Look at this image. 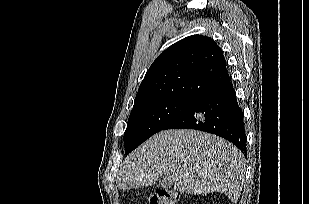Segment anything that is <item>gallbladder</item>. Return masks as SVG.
I'll use <instances>...</instances> for the list:
<instances>
[{
  "instance_id": "1",
  "label": "gallbladder",
  "mask_w": 309,
  "mask_h": 204,
  "mask_svg": "<svg viewBox=\"0 0 309 204\" xmlns=\"http://www.w3.org/2000/svg\"><path fill=\"white\" fill-rule=\"evenodd\" d=\"M159 185L162 188H170L173 185V179L165 175L159 179Z\"/></svg>"
}]
</instances>
